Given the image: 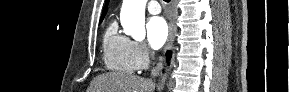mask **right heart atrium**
I'll return each instance as SVG.
<instances>
[{"instance_id": "d8ad5b80", "label": "right heart atrium", "mask_w": 289, "mask_h": 92, "mask_svg": "<svg viewBox=\"0 0 289 92\" xmlns=\"http://www.w3.org/2000/svg\"><path fill=\"white\" fill-rule=\"evenodd\" d=\"M131 57L135 69H145L151 61V52L147 45L141 41L131 42Z\"/></svg>"}]
</instances>
